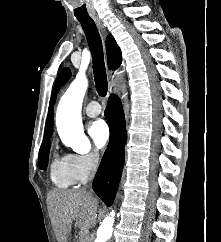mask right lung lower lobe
Here are the masks:
<instances>
[{
	"label": "right lung lower lobe",
	"mask_w": 221,
	"mask_h": 242,
	"mask_svg": "<svg viewBox=\"0 0 221 242\" xmlns=\"http://www.w3.org/2000/svg\"><path fill=\"white\" fill-rule=\"evenodd\" d=\"M110 126V141L93 180V190L106 205H111L121 178L126 143L125 117L118 96L111 94L105 110Z\"/></svg>",
	"instance_id": "right-lung-lower-lobe-1"
}]
</instances>
